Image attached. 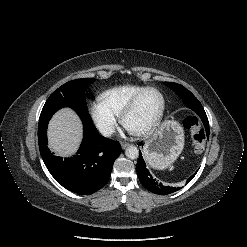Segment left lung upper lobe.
Instances as JSON below:
<instances>
[{
  "label": "left lung upper lobe",
  "mask_w": 247,
  "mask_h": 247,
  "mask_svg": "<svg viewBox=\"0 0 247 247\" xmlns=\"http://www.w3.org/2000/svg\"><path fill=\"white\" fill-rule=\"evenodd\" d=\"M164 84L170 89L174 90L178 94V96L183 100L186 106L190 108L193 112H195L201 119L205 117L207 118L203 106L188 89H186L180 84L173 82H165Z\"/></svg>",
  "instance_id": "1"
}]
</instances>
